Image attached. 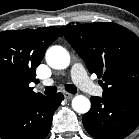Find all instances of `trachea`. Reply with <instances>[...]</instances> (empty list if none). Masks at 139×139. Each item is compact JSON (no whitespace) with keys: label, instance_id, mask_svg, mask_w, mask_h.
<instances>
[{"label":"trachea","instance_id":"obj_1","mask_svg":"<svg viewBox=\"0 0 139 139\" xmlns=\"http://www.w3.org/2000/svg\"><path fill=\"white\" fill-rule=\"evenodd\" d=\"M65 90L71 94H76L77 88L73 84H67L65 86ZM57 92V88L55 86H47L45 88V95H52Z\"/></svg>","mask_w":139,"mask_h":139}]
</instances>
